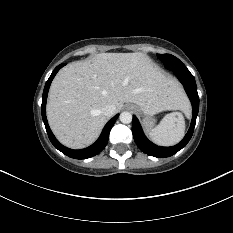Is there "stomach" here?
<instances>
[{
    "mask_svg": "<svg viewBox=\"0 0 233 233\" xmlns=\"http://www.w3.org/2000/svg\"><path fill=\"white\" fill-rule=\"evenodd\" d=\"M135 110L142 115V123L146 131H150L156 122V119L153 117V115L145 113L140 107H135Z\"/></svg>",
    "mask_w": 233,
    "mask_h": 233,
    "instance_id": "0dacf381",
    "label": "stomach"
}]
</instances>
